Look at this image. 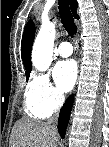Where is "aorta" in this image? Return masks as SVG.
Returning a JSON list of instances; mask_svg holds the SVG:
<instances>
[{"label": "aorta", "instance_id": "obj_1", "mask_svg": "<svg viewBox=\"0 0 109 147\" xmlns=\"http://www.w3.org/2000/svg\"><path fill=\"white\" fill-rule=\"evenodd\" d=\"M55 34L56 30L53 23L48 21L42 23L34 41L31 55L33 66L39 71H46L51 65Z\"/></svg>", "mask_w": 109, "mask_h": 147}]
</instances>
